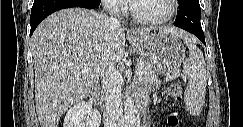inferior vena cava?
Returning a JSON list of instances; mask_svg holds the SVG:
<instances>
[{
	"label": "inferior vena cava",
	"instance_id": "inferior-vena-cava-1",
	"mask_svg": "<svg viewBox=\"0 0 243 127\" xmlns=\"http://www.w3.org/2000/svg\"><path fill=\"white\" fill-rule=\"evenodd\" d=\"M107 6L115 10L116 0H108ZM112 24L119 25V20L111 16ZM102 88L106 92V127H124L123 106H122V77L114 68L112 63L109 69L102 76Z\"/></svg>",
	"mask_w": 243,
	"mask_h": 127
}]
</instances>
